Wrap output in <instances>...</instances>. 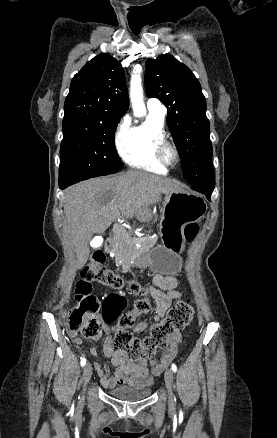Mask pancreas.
<instances>
[{
  "label": "pancreas",
  "mask_w": 277,
  "mask_h": 438,
  "mask_svg": "<svg viewBox=\"0 0 277 438\" xmlns=\"http://www.w3.org/2000/svg\"><path fill=\"white\" fill-rule=\"evenodd\" d=\"M108 237L104 244H107V253H114L118 267H129L130 253H148L159 241L154 231H111Z\"/></svg>",
  "instance_id": "1"
}]
</instances>
